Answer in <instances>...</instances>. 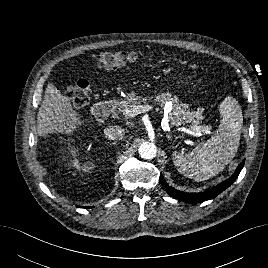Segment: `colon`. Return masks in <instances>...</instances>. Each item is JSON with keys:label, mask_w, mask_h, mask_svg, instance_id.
<instances>
[{"label": "colon", "mask_w": 268, "mask_h": 268, "mask_svg": "<svg viewBox=\"0 0 268 268\" xmlns=\"http://www.w3.org/2000/svg\"><path fill=\"white\" fill-rule=\"evenodd\" d=\"M138 58L139 55L135 51H104L96 55L95 63L99 68L117 69L136 62ZM89 93V83L80 80L66 90L65 96L72 105L81 107L87 103Z\"/></svg>", "instance_id": "obj_1"}]
</instances>
